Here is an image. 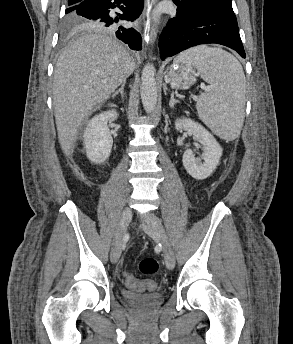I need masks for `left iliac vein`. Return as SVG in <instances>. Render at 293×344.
Returning a JSON list of instances; mask_svg holds the SVG:
<instances>
[{
    "label": "left iliac vein",
    "mask_w": 293,
    "mask_h": 344,
    "mask_svg": "<svg viewBox=\"0 0 293 344\" xmlns=\"http://www.w3.org/2000/svg\"><path fill=\"white\" fill-rule=\"evenodd\" d=\"M143 230L147 235L158 239L163 246V254L168 269L172 270L175 266V256L169 239L162 227L160 219L153 213H147L142 218Z\"/></svg>",
    "instance_id": "obj_1"
}]
</instances>
